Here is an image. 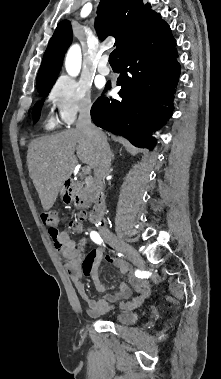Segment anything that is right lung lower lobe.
<instances>
[{
    "mask_svg": "<svg viewBox=\"0 0 221 379\" xmlns=\"http://www.w3.org/2000/svg\"><path fill=\"white\" fill-rule=\"evenodd\" d=\"M170 27L164 21L120 54L117 85L121 99L100 97L93 104L95 125L152 150V132L172 115L180 75ZM111 85H106L109 90Z\"/></svg>",
    "mask_w": 221,
    "mask_h": 379,
    "instance_id": "obj_1",
    "label": "right lung lower lobe"
}]
</instances>
